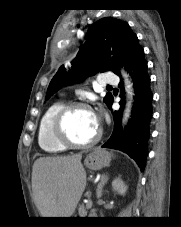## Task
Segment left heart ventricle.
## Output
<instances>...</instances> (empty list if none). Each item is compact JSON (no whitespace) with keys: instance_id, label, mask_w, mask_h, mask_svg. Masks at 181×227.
Wrapping results in <instances>:
<instances>
[{"instance_id":"1","label":"left heart ventricle","mask_w":181,"mask_h":227,"mask_svg":"<svg viewBox=\"0 0 181 227\" xmlns=\"http://www.w3.org/2000/svg\"><path fill=\"white\" fill-rule=\"evenodd\" d=\"M66 131L73 140L85 142L95 136L98 131V125L92 112L77 109L67 117Z\"/></svg>"}]
</instances>
